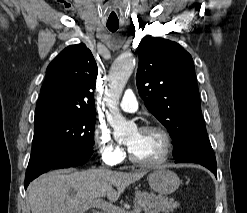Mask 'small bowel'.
Wrapping results in <instances>:
<instances>
[{
  "label": "small bowel",
  "mask_w": 247,
  "mask_h": 213,
  "mask_svg": "<svg viewBox=\"0 0 247 213\" xmlns=\"http://www.w3.org/2000/svg\"><path fill=\"white\" fill-rule=\"evenodd\" d=\"M146 213H156V211H154V210H149V211H147Z\"/></svg>",
  "instance_id": "1"
}]
</instances>
